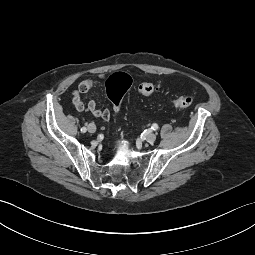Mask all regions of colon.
I'll return each mask as SVG.
<instances>
[{"mask_svg": "<svg viewBox=\"0 0 255 255\" xmlns=\"http://www.w3.org/2000/svg\"><path fill=\"white\" fill-rule=\"evenodd\" d=\"M132 86L131 77L124 72L112 74L106 81V90L115 113L119 111L120 103L123 96ZM157 90V86L152 83H141L138 86V92L142 95H151ZM194 99L191 96H181L172 101V104L177 108H188L192 106Z\"/></svg>", "mask_w": 255, "mask_h": 255, "instance_id": "obj_1", "label": "colon"}]
</instances>
